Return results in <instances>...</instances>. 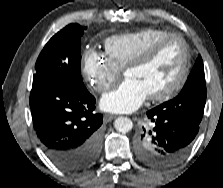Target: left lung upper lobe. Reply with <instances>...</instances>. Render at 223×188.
<instances>
[{"mask_svg":"<svg viewBox=\"0 0 223 188\" xmlns=\"http://www.w3.org/2000/svg\"><path fill=\"white\" fill-rule=\"evenodd\" d=\"M206 102L204 67L199 55L181 92L156 108L170 117L200 124Z\"/></svg>","mask_w":223,"mask_h":188,"instance_id":"obj_1","label":"left lung upper lobe"}]
</instances>
